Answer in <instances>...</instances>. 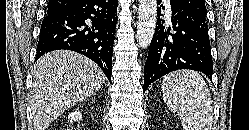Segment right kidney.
Returning a JSON list of instances; mask_svg holds the SVG:
<instances>
[{
  "label": "right kidney",
  "instance_id": "ca27d5eb",
  "mask_svg": "<svg viewBox=\"0 0 249 130\" xmlns=\"http://www.w3.org/2000/svg\"><path fill=\"white\" fill-rule=\"evenodd\" d=\"M82 119V113L79 110H75L68 115V122H78Z\"/></svg>",
  "mask_w": 249,
  "mask_h": 130
}]
</instances>
